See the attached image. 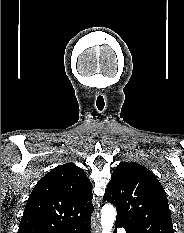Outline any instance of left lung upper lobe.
<instances>
[{"instance_id":"left-lung-upper-lobe-1","label":"left lung upper lobe","mask_w":184,"mask_h":233,"mask_svg":"<svg viewBox=\"0 0 184 233\" xmlns=\"http://www.w3.org/2000/svg\"><path fill=\"white\" fill-rule=\"evenodd\" d=\"M104 200L116 207V221L130 233H174L164 188L138 163L121 162L116 167Z\"/></svg>"}]
</instances>
